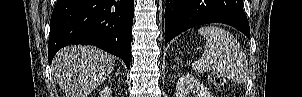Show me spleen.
<instances>
[{
	"mask_svg": "<svg viewBox=\"0 0 302 97\" xmlns=\"http://www.w3.org/2000/svg\"><path fill=\"white\" fill-rule=\"evenodd\" d=\"M198 33L206 38V43L202 57L192 64V70L197 73L213 71L235 83H245L248 62L233 35L216 26L201 27Z\"/></svg>",
	"mask_w": 302,
	"mask_h": 97,
	"instance_id": "1",
	"label": "spleen"
}]
</instances>
